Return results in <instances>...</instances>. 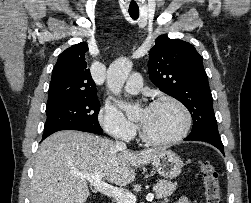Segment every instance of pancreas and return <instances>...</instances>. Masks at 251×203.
Segmentation results:
<instances>
[{
	"mask_svg": "<svg viewBox=\"0 0 251 203\" xmlns=\"http://www.w3.org/2000/svg\"><path fill=\"white\" fill-rule=\"evenodd\" d=\"M176 190V183L167 180H158L154 186L155 195L157 198H165L170 196ZM117 203H124L117 200Z\"/></svg>",
	"mask_w": 251,
	"mask_h": 203,
	"instance_id": "obj_1",
	"label": "pancreas"
}]
</instances>
